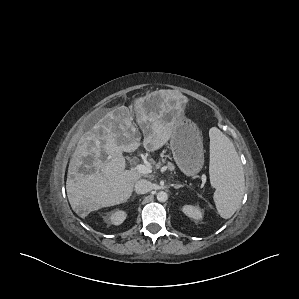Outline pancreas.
<instances>
[{
  "label": "pancreas",
  "mask_w": 299,
  "mask_h": 299,
  "mask_svg": "<svg viewBox=\"0 0 299 299\" xmlns=\"http://www.w3.org/2000/svg\"><path fill=\"white\" fill-rule=\"evenodd\" d=\"M163 162H164V160H163ZM153 164H155V162L153 161L152 162ZM161 163L159 162V163H157V164H155L156 166H159ZM168 168L169 169H173L174 168V166H173V164L172 163H168Z\"/></svg>",
  "instance_id": "obj_1"
}]
</instances>
